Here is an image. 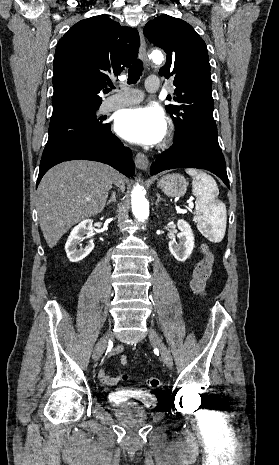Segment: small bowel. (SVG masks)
Returning <instances> with one entry per match:
<instances>
[{"mask_svg":"<svg viewBox=\"0 0 279 465\" xmlns=\"http://www.w3.org/2000/svg\"><path fill=\"white\" fill-rule=\"evenodd\" d=\"M123 346L118 345L111 350L109 356L120 355V362L123 366H127L128 364V357L127 355L123 354ZM99 379L101 382L107 385H115L120 382L123 378L120 376H110L105 370H100L98 373Z\"/></svg>","mask_w":279,"mask_h":465,"instance_id":"small-bowel-1","label":"small bowel"}]
</instances>
